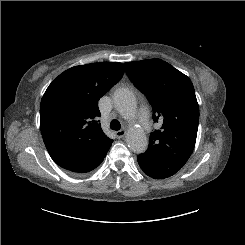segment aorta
I'll return each mask as SVG.
<instances>
[{"mask_svg": "<svg viewBox=\"0 0 245 245\" xmlns=\"http://www.w3.org/2000/svg\"><path fill=\"white\" fill-rule=\"evenodd\" d=\"M113 100L115 108L125 119H129L135 115L136 98L131 90L127 88L117 89L114 93ZM126 143L130 150L138 154L145 152L148 146L146 134L137 127L129 128L126 135Z\"/></svg>", "mask_w": 245, "mask_h": 245, "instance_id": "obj_1", "label": "aorta"}]
</instances>
